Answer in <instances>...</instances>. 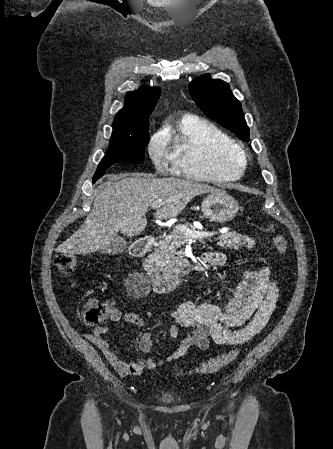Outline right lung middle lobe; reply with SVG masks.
Listing matches in <instances>:
<instances>
[{
	"instance_id": "obj_1",
	"label": "right lung middle lobe",
	"mask_w": 333,
	"mask_h": 449,
	"mask_svg": "<svg viewBox=\"0 0 333 449\" xmlns=\"http://www.w3.org/2000/svg\"><path fill=\"white\" fill-rule=\"evenodd\" d=\"M149 120L146 121L140 135L136 137H111L109 149L104 156L93 176V181H97L105 171L115 163L130 162L140 163L144 160L145 151L149 142Z\"/></svg>"
}]
</instances>
